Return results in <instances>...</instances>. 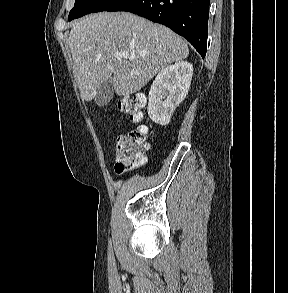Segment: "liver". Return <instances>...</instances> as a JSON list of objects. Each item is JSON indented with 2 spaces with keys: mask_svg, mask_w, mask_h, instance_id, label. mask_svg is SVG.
Wrapping results in <instances>:
<instances>
[{
  "mask_svg": "<svg viewBox=\"0 0 288 293\" xmlns=\"http://www.w3.org/2000/svg\"><path fill=\"white\" fill-rule=\"evenodd\" d=\"M68 45L82 99L91 101L98 87L112 78L119 96L133 94L189 49L169 28L128 12H100L77 22ZM128 52L135 58L117 57Z\"/></svg>",
  "mask_w": 288,
  "mask_h": 293,
  "instance_id": "obj_1",
  "label": "liver"
}]
</instances>
